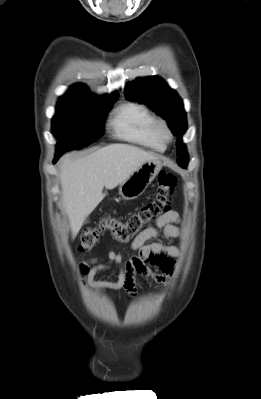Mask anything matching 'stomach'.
I'll use <instances>...</instances> for the list:
<instances>
[{
	"label": "stomach",
	"mask_w": 261,
	"mask_h": 399,
	"mask_svg": "<svg viewBox=\"0 0 261 399\" xmlns=\"http://www.w3.org/2000/svg\"><path fill=\"white\" fill-rule=\"evenodd\" d=\"M162 168L160 160H148L119 186V194L125 200L139 197L154 180Z\"/></svg>",
	"instance_id": "stomach-1"
}]
</instances>
